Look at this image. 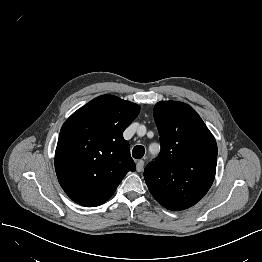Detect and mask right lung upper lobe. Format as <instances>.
Instances as JSON below:
<instances>
[{
  "instance_id": "right-lung-upper-lobe-1",
  "label": "right lung upper lobe",
  "mask_w": 262,
  "mask_h": 262,
  "mask_svg": "<svg viewBox=\"0 0 262 262\" xmlns=\"http://www.w3.org/2000/svg\"><path fill=\"white\" fill-rule=\"evenodd\" d=\"M139 105L112 95L99 96L63 124L55 152V170L66 194L93 207L115 192L136 166L123 131L138 116Z\"/></svg>"
}]
</instances>
